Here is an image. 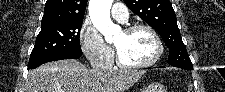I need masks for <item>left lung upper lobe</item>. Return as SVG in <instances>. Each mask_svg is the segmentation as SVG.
<instances>
[{"mask_svg": "<svg viewBox=\"0 0 225 92\" xmlns=\"http://www.w3.org/2000/svg\"><path fill=\"white\" fill-rule=\"evenodd\" d=\"M124 2L136 15L161 35L169 48V64L192 65L181 39L174 9L169 0H124Z\"/></svg>", "mask_w": 225, "mask_h": 92, "instance_id": "left-lung-upper-lobe-1", "label": "left lung upper lobe"}]
</instances>
